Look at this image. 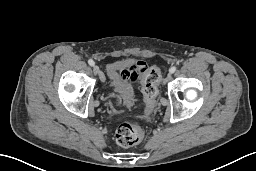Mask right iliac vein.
I'll use <instances>...</instances> for the list:
<instances>
[{"mask_svg": "<svg viewBox=\"0 0 256 171\" xmlns=\"http://www.w3.org/2000/svg\"><path fill=\"white\" fill-rule=\"evenodd\" d=\"M93 72H94L95 75H99L100 74V69H99V67L97 65H95L93 67Z\"/></svg>", "mask_w": 256, "mask_h": 171, "instance_id": "63e3f726", "label": "right iliac vein"}]
</instances>
